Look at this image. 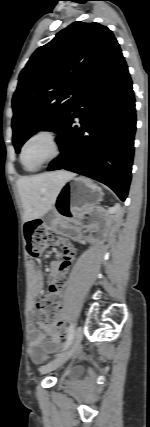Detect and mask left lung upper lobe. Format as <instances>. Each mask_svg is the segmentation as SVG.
Masks as SVG:
<instances>
[{"mask_svg": "<svg viewBox=\"0 0 150 427\" xmlns=\"http://www.w3.org/2000/svg\"><path fill=\"white\" fill-rule=\"evenodd\" d=\"M117 49L106 26L77 21L33 53L12 99L16 153L34 132L60 128L82 88Z\"/></svg>", "mask_w": 150, "mask_h": 427, "instance_id": "obj_1", "label": "left lung upper lobe"}]
</instances>
